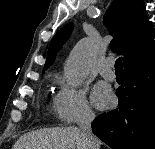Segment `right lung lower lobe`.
I'll return each mask as SVG.
<instances>
[{
    "mask_svg": "<svg viewBox=\"0 0 155 149\" xmlns=\"http://www.w3.org/2000/svg\"><path fill=\"white\" fill-rule=\"evenodd\" d=\"M118 108L99 115L93 133L113 149H155V58L124 68Z\"/></svg>",
    "mask_w": 155,
    "mask_h": 149,
    "instance_id": "98d812e1",
    "label": "right lung lower lobe"
}]
</instances>
